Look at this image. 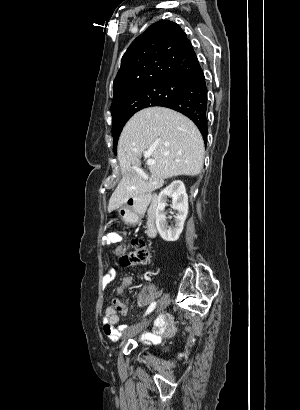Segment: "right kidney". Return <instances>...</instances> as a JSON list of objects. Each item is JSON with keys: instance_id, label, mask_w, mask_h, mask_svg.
I'll list each match as a JSON object with an SVG mask.
<instances>
[{"instance_id": "right-kidney-1", "label": "right kidney", "mask_w": 300, "mask_h": 410, "mask_svg": "<svg viewBox=\"0 0 300 410\" xmlns=\"http://www.w3.org/2000/svg\"><path fill=\"white\" fill-rule=\"evenodd\" d=\"M172 197V207L177 210L175 216V225L169 226L165 212L166 201ZM188 214V196L185 185L181 180L173 181L169 186L164 188L157 197V207L155 210L156 227L163 240L173 242L177 241L182 233L184 222Z\"/></svg>"}]
</instances>
